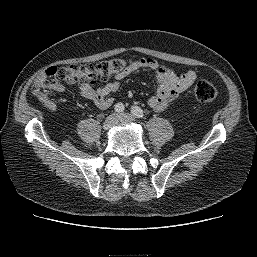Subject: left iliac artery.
Wrapping results in <instances>:
<instances>
[{
	"mask_svg": "<svg viewBox=\"0 0 257 257\" xmlns=\"http://www.w3.org/2000/svg\"><path fill=\"white\" fill-rule=\"evenodd\" d=\"M131 113L137 118H143L144 116L143 110L138 106H133L131 108Z\"/></svg>",
	"mask_w": 257,
	"mask_h": 257,
	"instance_id": "left-iliac-artery-1",
	"label": "left iliac artery"
}]
</instances>
